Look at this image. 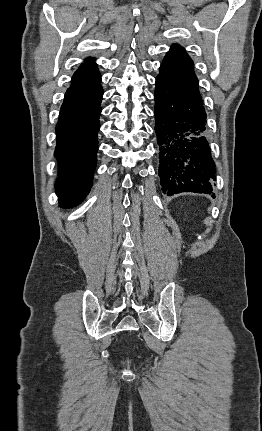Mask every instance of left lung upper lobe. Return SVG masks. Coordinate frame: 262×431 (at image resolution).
I'll return each mask as SVG.
<instances>
[{
    "label": "left lung upper lobe",
    "instance_id": "left-lung-upper-lobe-1",
    "mask_svg": "<svg viewBox=\"0 0 262 431\" xmlns=\"http://www.w3.org/2000/svg\"><path fill=\"white\" fill-rule=\"evenodd\" d=\"M202 102L193 62L179 45H173L166 54L157 76Z\"/></svg>",
    "mask_w": 262,
    "mask_h": 431
}]
</instances>
